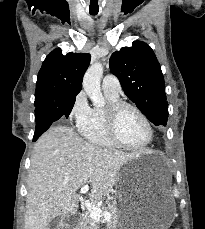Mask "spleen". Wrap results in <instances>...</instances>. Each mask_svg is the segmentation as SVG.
<instances>
[{
	"mask_svg": "<svg viewBox=\"0 0 205 229\" xmlns=\"http://www.w3.org/2000/svg\"><path fill=\"white\" fill-rule=\"evenodd\" d=\"M173 194H174V196H175L176 198L179 197V191L177 190L176 187H174V189H173Z\"/></svg>",
	"mask_w": 205,
	"mask_h": 229,
	"instance_id": "obj_1",
	"label": "spleen"
}]
</instances>
